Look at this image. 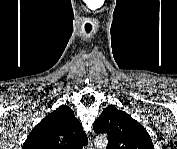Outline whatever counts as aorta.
<instances>
[{"mask_svg": "<svg viewBox=\"0 0 177 149\" xmlns=\"http://www.w3.org/2000/svg\"><path fill=\"white\" fill-rule=\"evenodd\" d=\"M97 142L102 143L105 146L107 143V138L105 136H99L97 138Z\"/></svg>", "mask_w": 177, "mask_h": 149, "instance_id": "762f6f07", "label": "aorta"}]
</instances>
